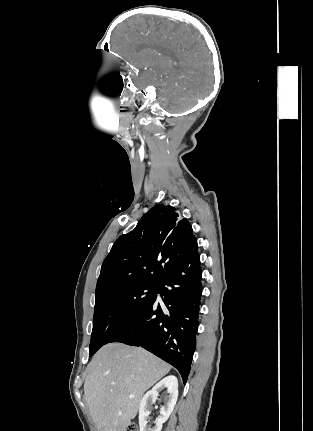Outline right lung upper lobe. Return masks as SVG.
Returning a JSON list of instances; mask_svg holds the SVG:
<instances>
[{"label":"right lung upper lobe","instance_id":"right-lung-upper-lobe-1","mask_svg":"<svg viewBox=\"0 0 313 431\" xmlns=\"http://www.w3.org/2000/svg\"><path fill=\"white\" fill-rule=\"evenodd\" d=\"M194 239L190 223L176 208L155 205L112 246L101 267L95 301L128 287L158 285Z\"/></svg>","mask_w":313,"mask_h":431}]
</instances>
